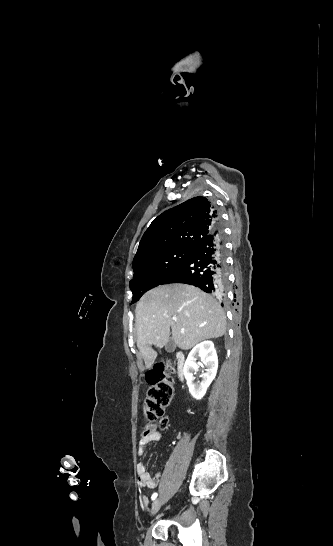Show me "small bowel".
Listing matches in <instances>:
<instances>
[{"mask_svg": "<svg viewBox=\"0 0 333 546\" xmlns=\"http://www.w3.org/2000/svg\"><path fill=\"white\" fill-rule=\"evenodd\" d=\"M161 438H162L161 433L157 431H153L149 434L142 435L139 440V454L143 455L145 452V448L148 444L152 442L160 441ZM137 473H138V482L141 487L155 489L157 485L159 484L161 472H159L157 475L152 477L150 473L147 471L146 466L143 463H140L137 465ZM143 503L147 506L148 504L147 496L143 497Z\"/></svg>", "mask_w": 333, "mask_h": 546, "instance_id": "c3829d8e", "label": "small bowel"}]
</instances>
